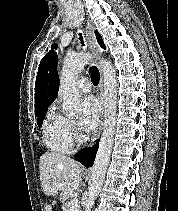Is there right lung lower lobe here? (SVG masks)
I'll return each mask as SVG.
<instances>
[{"instance_id": "right-lung-lower-lobe-1", "label": "right lung lower lobe", "mask_w": 178, "mask_h": 211, "mask_svg": "<svg viewBox=\"0 0 178 211\" xmlns=\"http://www.w3.org/2000/svg\"><path fill=\"white\" fill-rule=\"evenodd\" d=\"M98 150V143L91 148L82 149L75 155V159L80 161L86 167L93 165L96 153Z\"/></svg>"}]
</instances>
